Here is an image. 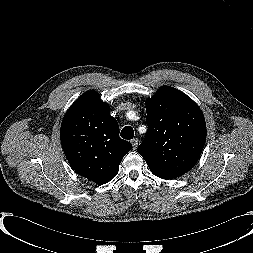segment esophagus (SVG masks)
<instances>
[{
    "mask_svg": "<svg viewBox=\"0 0 253 253\" xmlns=\"http://www.w3.org/2000/svg\"><path fill=\"white\" fill-rule=\"evenodd\" d=\"M138 143H139V140L137 138H134V139L131 140V144H132L134 149L137 148Z\"/></svg>",
    "mask_w": 253,
    "mask_h": 253,
    "instance_id": "obj_1",
    "label": "esophagus"
}]
</instances>
